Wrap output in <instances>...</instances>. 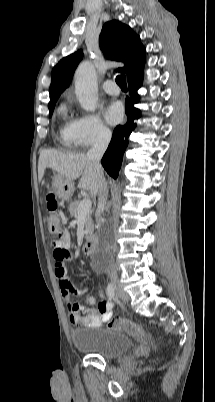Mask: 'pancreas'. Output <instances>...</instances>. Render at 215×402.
Here are the masks:
<instances>
[{"label": "pancreas", "mask_w": 215, "mask_h": 402, "mask_svg": "<svg viewBox=\"0 0 215 402\" xmlns=\"http://www.w3.org/2000/svg\"><path fill=\"white\" fill-rule=\"evenodd\" d=\"M80 201H73L70 203L68 207V211L71 217L77 218L78 217V207H79ZM92 211H89L85 215V238L89 239L91 235L93 234V223H92V218H91Z\"/></svg>", "instance_id": "cf45deb5"}]
</instances>
